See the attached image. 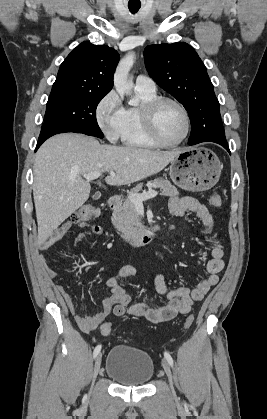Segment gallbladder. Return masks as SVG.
<instances>
[{
	"instance_id": "gallbladder-1",
	"label": "gallbladder",
	"mask_w": 267,
	"mask_h": 419,
	"mask_svg": "<svg viewBox=\"0 0 267 419\" xmlns=\"http://www.w3.org/2000/svg\"><path fill=\"white\" fill-rule=\"evenodd\" d=\"M100 195H101V194L98 192V193H96V194H95V197H96V198H99V197H100Z\"/></svg>"
}]
</instances>
